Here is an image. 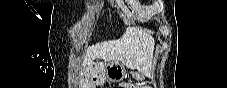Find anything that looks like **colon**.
<instances>
[{"mask_svg":"<svg viewBox=\"0 0 227 88\" xmlns=\"http://www.w3.org/2000/svg\"><path fill=\"white\" fill-rule=\"evenodd\" d=\"M125 87H127V88H132L133 86L130 85V84H127Z\"/></svg>","mask_w":227,"mask_h":88,"instance_id":"1","label":"colon"}]
</instances>
